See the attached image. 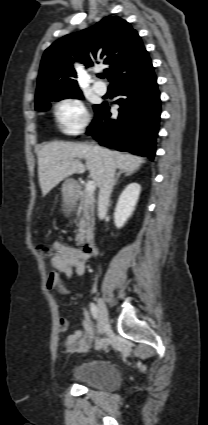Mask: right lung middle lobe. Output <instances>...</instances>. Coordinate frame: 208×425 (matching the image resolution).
Listing matches in <instances>:
<instances>
[{"label":"right lung middle lobe","instance_id":"dd1d6c3e","mask_svg":"<svg viewBox=\"0 0 208 425\" xmlns=\"http://www.w3.org/2000/svg\"><path fill=\"white\" fill-rule=\"evenodd\" d=\"M66 98H77V99H83L81 91H73L68 93H51L48 95L43 96L38 102L35 104L36 110H48L50 108V102L55 100L59 101ZM94 109L97 107V105L93 106Z\"/></svg>","mask_w":208,"mask_h":425}]
</instances>
